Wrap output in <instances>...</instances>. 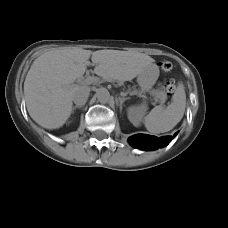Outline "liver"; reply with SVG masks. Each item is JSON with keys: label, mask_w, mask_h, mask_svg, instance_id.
Instances as JSON below:
<instances>
[{"label": "liver", "mask_w": 228, "mask_h": 228, "mask_svg": "<svg viewBox=\"0 0 228 228\" xmlns=\"http://www.w3.org/2000/svg\"><path fill=\"white\" fill-rule=\"evenodd\" d=\"M91 56L94 73L106 81H130L150 66L148 55L119 50L72 48L50 51L39 56L30 67L24 82V96L30 117L46 129L62 127L72 112L75 85L89 65Z\"/></svg>", "instance_id": "6515ba94"}]
</instances>
